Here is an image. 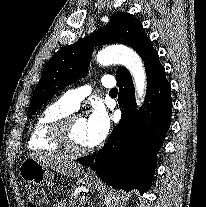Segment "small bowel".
<instances>
[{"instance_id": "1", "label": "small bowel", "mask_w": 206, "mask_h": 207, "mask_svg": "<svg viewBox=\"0 0 206 207\" xmlns=\"http://www.w3.org/2000/svg\"><path fill=\"white\" fill-rule=\"evenodd\" d=\"M55 207H66V205L63 202H60L56 204Z\"/></svg>"}]
</instances>
